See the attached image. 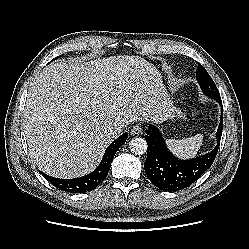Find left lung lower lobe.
<instances>
[{
    "label": "left lung lower lobe",
    "mask_w": 249,
    "mask_h": 249,
    "mask_svg": "<svg viewBox=\"0 0 249 249\" xmlns=\"http://www.w3.org/2000/svg\"><path fill=\"white\" fill-rule=\"evenodd\" d=\"M223 106L221 99L217 100ZM222 115L216 133L217 145L206 155L189 160L176 158L167 148L162 134L153 125L148 126L145 140L148 144L144 169L148 179L161 190L174 192L190 186L211 167L215 160L222 136Z\"/></svg>",
    "instance_id": "obj_1"
}]
</instances>
